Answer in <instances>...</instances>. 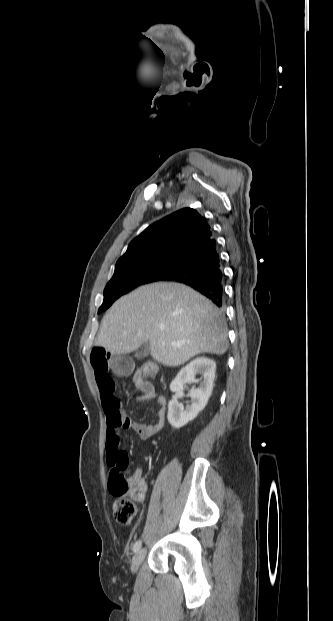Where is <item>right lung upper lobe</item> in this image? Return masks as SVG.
Segmentation results:
<instances>
[{
    "label": "right lung upper lobe",
    "instance_id": "right-lung-upper-lobe-1",
    "mask_svg": "<svg viewBox=\"0 0 333 621\" xmlns=\"http://www.w3.org/2000/svg\"><path fill=\"white\" fill-rule=\"evenodd\" d=\"M214 238L207 220L195 209L183 208L153 223L134 238L117 261L186 258Z\"/></svg>",
    "mask_w": 333,
    "mask_h": 621
}]
</instances>
